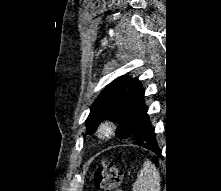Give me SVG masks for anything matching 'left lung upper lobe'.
<instances>
[{
    "instance_id": "obj_1",
    "label": "left lung upper lobe",
    "mask_w": 221,
    "mask_h": 191,
    "mask_svg": "<svg viewBox=\"0 0 221 191\" xmlns=\"http://www.w3.org/2000/svg\"><path fill=\"white\" fill-rule=\"evenodd\" d=\"M134 80L130 77L121 76L112 81L97 97L91 106L90 114L86 120L87 134H92L103 119H110L118 123L117 136L125 139L132 137L134 144L140 146L156 145L153 141L141 137L135 128L136 124L131 113V96Z\"/></svg>"
}]
</instances>
